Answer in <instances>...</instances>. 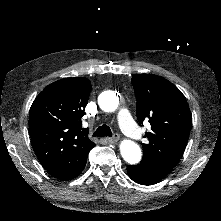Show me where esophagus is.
<instances>
[{
    "instance_id": "1",
    "label": "esophagus",
    "mask_w": 221,
    "mask_h": 221,
    "mask_svg": "<svg viewBox=\"0 0 221 221\" xmlns=\"http://www.w3.org/2000/svg\"><path fill=\"white\" fill-rule=\"evenodd\" d=\"M106 140L110 143V144H114L119 140V135L118 134H114L113 137H108L106 138Z\"/></svg>"
}]
</instances>
